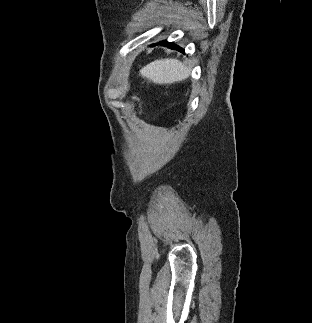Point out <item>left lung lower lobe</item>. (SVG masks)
<instances>
[{
	"label": "left lung lower lobe",
	"instance_id": "left-lung-lower-lobe-1",
	"mask_svg": "<svg viewBox=\"0 0 312 323\" xmlns=\"http://www.w3.org/2000/svg\"><path fill=\"white\" fill-rule=\"evenodd\" d=\"M161 44H166L167 47L171 48V49H175V50H178L180 52H183L184 53V49L180 48L179 46L175 45L174 43H170V42H167L166 40L164 41H160Z\"/></svg>",
	"mask_w": 312,
	"mask_h": 323
}]
</instances>
